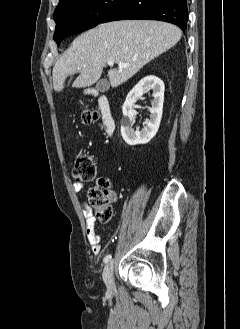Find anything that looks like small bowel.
<instances>
[{"mask_svg":"<svg viewBox=\"0 0 240 329\" xmlns=\"http://www.w3.org/2000/svg\"><path fill=\"white\" fill-rule=\"evenodd\" d=\"M84 185L82 183H73L72 188L76 193L82 191ZM80 204L86 219V234L88 241L90 243L91 249L94 253H100L101 251V239L96 230L95 218L92 215L91 210L86 205L83 199H80Z\"/></svg>","mask_w":240,"mask_h":329,"instance_id":"obj_1","label":"small bowel"}]
</instances>
